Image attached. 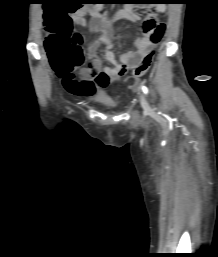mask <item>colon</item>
<instances>
[{
	"label": "colon",
	"mask_w": 218,
	"mask_h": 257,
	"mask_svg": "<svg viewBox=\"0 0 218 257\" xmlns=\"http://www.w3.org/2000/svg\"><path fill=\"white\" fill-rule=\"evenodd\" d=\"M79 8L78 5H47L45 12V47L54 70L65 79L72 77L74 71L84 63L82 36L72 30L70 17ZM141 10H153V5H141ZM143 29L151 33L154 45L161 40L165 30L153 11L143 23ZM153 55L154 51L151 50L133 69L131 84L148 71Z\"/></svg>",
	"instance_id": "1"
}]
</instances>
